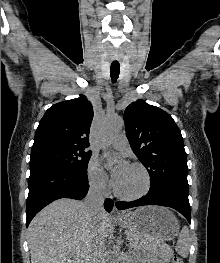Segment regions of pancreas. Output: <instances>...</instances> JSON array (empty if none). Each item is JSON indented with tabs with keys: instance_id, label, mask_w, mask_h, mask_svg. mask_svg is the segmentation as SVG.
<instances>
[{
	"instance_id": "1",
	"label": "pancreas",
	"mask_w": 220,
	"mask_h": 263,
	"mask_svg": "<svg viewBox=\"0 0 220 263\" xmlns=\"http://www.w3.org/2000/svg\"><path fill=\"white\" fill-rule=\"evenodd\" d=\"M127 237L132 245L136 243V237L133 233L127 232ZM152 250L156 256L164 261H169L173 256V250L163 243H153Z\"/></svg>"
}]
</instances>
